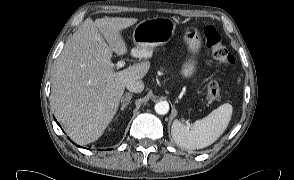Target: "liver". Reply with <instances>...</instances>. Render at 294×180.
I'll return each mask as SVG.
<instances>
[{"label":"liver","instance_id":"1","mask_svg":"<svg viewBox=\"0 0 294 180\" xmlns=\"http://www.w3.org/2000/svg\"><path fill=\"white\" fill-rule=\"evenodd\" d=\"M137 18L86 19L55 61L51 104L67 135L79 145L102 136L114 118L126 84L142 79L149 62L114 71L112 54L124 55L121 31Z\"/></svg>","mask_w":294,"mask_h":180}]
</instances>
